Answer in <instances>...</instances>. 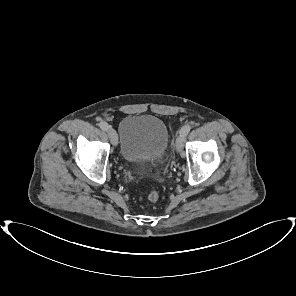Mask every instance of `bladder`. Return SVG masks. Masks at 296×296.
<instances>
[{"label":"bladder","mask_w":296,"mask_h":296,"mask_svg":"<svg viewBox=\"0 0 296 296\" xmlns=\"http://www.w3.org/2000/svg\"><path fill=\"white\" fill-rule=\"evenodd\" d=\"M120 154L128 163L143 164L163 157L168 145L165 123L152 115H129L119 125Z\"/></svg>","instance_id":"bladder-1"}]
</instances>
